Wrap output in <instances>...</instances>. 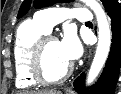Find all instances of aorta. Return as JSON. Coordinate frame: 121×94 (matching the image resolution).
Returning <instances> with one entry per match:
<instances>
[{
  "mask_svg": "<svg viewBox=\"0 0 121 94\" xmlns=\"http://www.w3.org/2000/svg\"><path fill=\"white\" fill-rule=\"evenodd\" d=\"M82 2L93 10L98 23V45L86 80V84L90 85L107 60L111 46V30L107 15L98 0H82Z\"/></svg>",
  "mask_w": 121,
  "mask_h": 94,
  "instance_id": "1",
  "label": "aorta"
}]
</instances>
